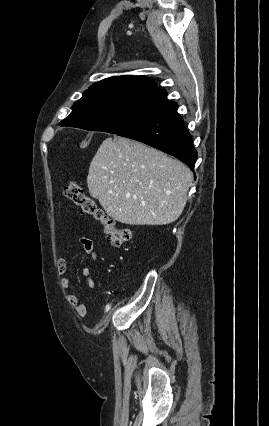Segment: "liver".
<instances>
[{
  "instance_id": "obj_1",
  "label": "liver",
  "mask_w": 269,
  "mask_h": 426,
  "mask_svg": "<svg viewBox=\"0 0 269 426\" xmlns=\"http://www.w3.org/2000/svg\"><path fill=\"white\" fill-rule=\"evenodd\" d=\"M90 196L114 220L166 225L181 215L192 184L180 161L125 137L105 139L89 167Z\"/></svg>"
}]
</instances>
